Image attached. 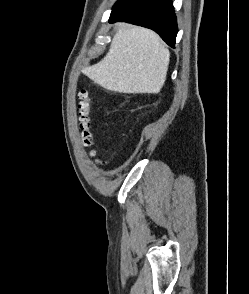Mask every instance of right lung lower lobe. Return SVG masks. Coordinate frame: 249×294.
<instances>
[{"label":"right lung lower lobe","mask_w":249,"mask_h":294,"mask_svg":"<svg viewBox=\"0 0 249 294\" xmlns=\"http://www.w3.org/2000/svg\"><path fill=\"white\" fill-rule=\"evenodd\" d=\"M118 20L150 28L174 47L178 30L171 0H124L110 16V22Z\"/></svg>","instance_id":"1"}]
</instances>
